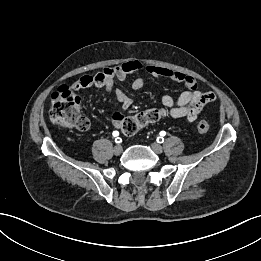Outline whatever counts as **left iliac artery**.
Returning <instances> with one entry per match:
<instances>
[{
    "instance_id": "1",
    "label": "left iliac artery",
    "mask_w": 261,
    "mask_h": 261,
    "mask_svg": "<svg viewBox=\"0 0 261 261\" xmlns=\"http://www.w3.org/2000/svg\"><path fill=\"white\" fill-rule=\"evenodd\" d=\"M165 135H166V132L165 131H161L160 132V137L157 138V142L158 143H163L164 142L163 136H165Z\"/></svg>"
}]
</instances>
